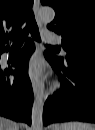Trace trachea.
Returning <instances> with one entry per match:
<instances>
[{"instance_id": "1", "label": "trachea", "mask_w": 95, "mask_h": 130, "mask_svg": "<svg viewBox=\"0 0 95 130\" xmlns=\"http://www.w3.org/2000/svg\"><path fill=\"white\" fill-rule=\"evenodd\" d=\"M31 32L32 37L36 40V41H40V33H39V29L34 17V13L30 12L29 17H28V21L27 24L24 28V30L21 32V34L15 39V41L13 42L12 47H16V46H21L23 44V41L25 39V37L27 36V34ZM52 48H56L53 46H49Z\"/></svg>"}]
</instances>
